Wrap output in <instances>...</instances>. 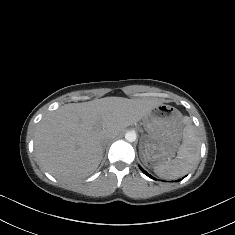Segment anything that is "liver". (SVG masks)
<instances>
[{"instance_id": "obj_1", "label": "liver", "mask_w": 235, "mask_h": 235, "mask_svg": "<svg viewBox=\"0 0 235 235\" xmlns=\"http://www.w3.org/2000/svg\"><path fill=\"white\" fill-rule=\"evenodd\" d=\"M161 104L157 98L107 97L49 112L34 131L40 170L63 182L89 176L103 158L101 142L136 125Z\"/></svg>"}]
</instances>
